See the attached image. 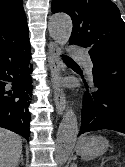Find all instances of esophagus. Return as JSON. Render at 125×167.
<instances>
[{
    "label": "esophagus",
    "instance_id": "esophagus-1",
    "mask_svg": "<svg viewBox=\"0 0 125 167\" xmlns=\"http://www.w3.org/2000/svg\"><path fill=\"white\" fill-rule=\"evenodd\" d=\"M48 54L50 62V73L52 77L53 85V96L54 103L56 106V111L59 115L63 114L66 106V96L63 89L59 86L58 80L60 78L61 72V62H60V48L56 42H49L48 45Z\"/></svg>",
    "mask_w": 125,
    "mask_h": 167
}]
</instances>
